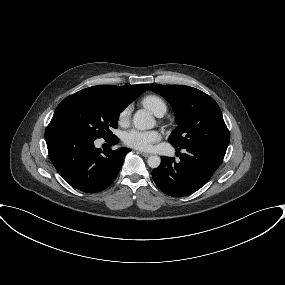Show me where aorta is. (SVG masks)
Returning a JSON list of instances; mask_svg holds the SVG:
<instances>
[{
  "label": "aorta",
  "instance_id": "762f6f07",
  "mask_svg": "<svg viewBox=\"0 0 285 285\" xmlns=\"http://www.w3.org/2000/svg\"><path fill=\"white\" fill-rule=\"evenodd\" d=\"M133 124L139 130L152 129L156 125V121L152 114L146 110H138L133 116ZM147 163L151 168H157L160 166L161 159L157 155H151Z\"/></svg>",
  "mask_w": 285,
  "mask_h": 285
}]
</instances>
